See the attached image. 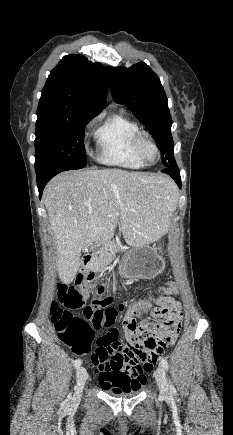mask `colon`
<instances>
[{"label": "colon", "instance_id": "5ec220e1", "mask_svg": "<svg viewBox=\"0 0 233 435\" xmlns=\"http://www.w3.org/2000/svg\"><path fill=\"white\" fill-rule=\"evenodd\" d=\"M99 274L95 270H85L75 280L74 285L59 283L56 298L52 303L51 321L58 339L73 353L78 355L91 354L93 364L106 362L115 353L124 357V365L128 368L138 365L146 371H152L156 361L164 354L165 349L172 343L174 329L164 325L166 331L159 333L152 325L137 324L135 318L158 314L154 302L148 299L140 300L138 306H120L123 312L122 326L126 338L125 344L97 336L96 331L110 326L118 317V310L113 306V296L100 295L90 304L85 305L79 289L92 284ZM163 294L173 293L169 283L157 287ZM63 303L66 308L58 307ZM71 310H81V314H74ZM117 392H128L133 389L125 374L114 377Z\"/></svg>", "mask_w": 233, "mask_h": 435}]
</instances>
